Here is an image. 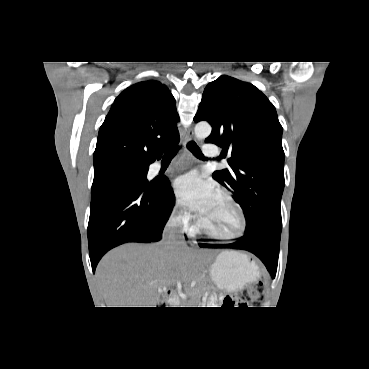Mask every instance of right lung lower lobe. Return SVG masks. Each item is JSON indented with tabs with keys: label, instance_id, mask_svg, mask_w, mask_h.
<instances>
[{
	"label": "right lung lower lobe",
	"instance_id": "98d812e1",
	"mask_svg": "<svg viewBox=\"0 0 369 369\" xmlns=\"http://www.w3.org/2000/svg\"><path fill=\"white\" fill-rule=\"evenodd\" d=\"M174 203L167 177L144 185L125 175L93 194L88 224L93 272L102 256L118 245L159 241Z\"/></svg>",
	"mask_w": 369,
	"mask_h": 369
}]
</instances>
